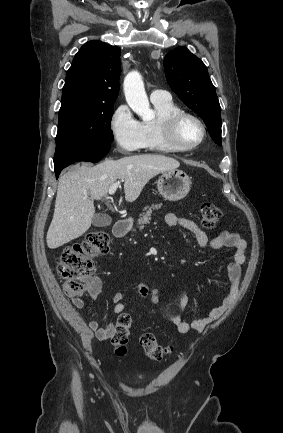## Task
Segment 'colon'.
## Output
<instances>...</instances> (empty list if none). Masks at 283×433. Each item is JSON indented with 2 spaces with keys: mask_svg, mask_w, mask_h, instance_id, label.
<instances>
[{
  "mask_svg": "<svg viewBox=\"0 0 283 433\" xmlns=\"http://www.w3.org/2000/svg\"><path fill=\"white\" fill-rule=\"evenodd\" d=\"M222 211L212 202H204L200 206V219L203 227L213 229L222 219ZM110 238L105 231H94L81 242L71 245L60 255L57 272L65 280L64 290L68 297L83 295L88 285V278L95 269L94 258L108 252ZM132 318L129 313H121L111 334V343L115 353L124 355L127 350ZM140 345L145 355L153 361H160L171 353L172 347L162 346L156 336L144 332L140 337Z\"/></svg>",
  "mask_w": 283,
  "mask_h": 433,
  "instance_id": "1",
  "label": "colon"
}]
</instances>
